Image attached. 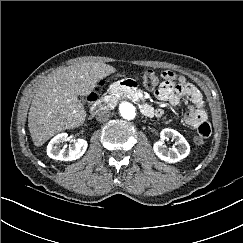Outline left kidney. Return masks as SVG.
<instances>
[{"label":"left kidney","mask_w":243,"mask_h":243,"mask_svg":"<svg viewBox=\"0 0 243 243\" xmlns=\"http://www.w3.org/2000/svg\"><path fill=\"white\" fill-rule=\"evenodd\" d=\"M161 140L153 145L154 153L157 157L168 163H175L186 158L190 153V146L187 140L176 130L165 128L160 133ZM175 140L177 147L165 148L164 140Z\"/></svg>","instance_id":"5707ae66"}]
</instances>
